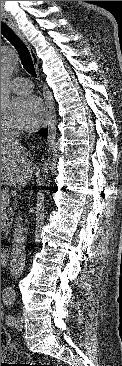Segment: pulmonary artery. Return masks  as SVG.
Instances as JSON below:
<instances>
[{"instance_id":"e3ab8cb5","label":"pulmonary artery","mask_w":122,"mask_h":366,"mask_svg":"<svg viewBox=\"0 0 122 366\" xmlns=\"http://www.w3.org/2000/svg\"><path fill=\"white\" fill-rule=\"evenodd\" d=\"M10 87L17 94H24L32 91L31 82L22 77L14 78L10 83Z\"/></svg>"}]
</instances>
